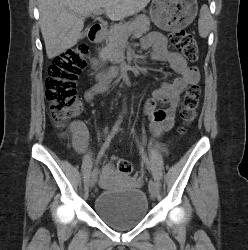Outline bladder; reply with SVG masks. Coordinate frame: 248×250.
<instances>
[{"label": "bladder", "instance_id": "bladder-1", "mask_svg": "<svg viewBox=\"0 0 248 250\" xmlns=\"http://www.w3.org/2000/svg\"><path fill=\"white\" fill-rule=\"evenodd\" d=\"M95 213L109 226L128 230L146 217L149 203L137 188H112L102 191L94 202Z\"/></svg>", "mask_w": 248, "mask_h": 250}]
</instances>
